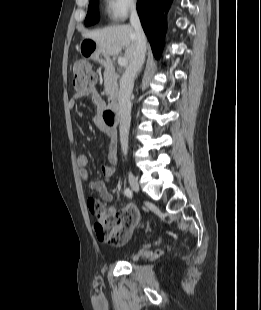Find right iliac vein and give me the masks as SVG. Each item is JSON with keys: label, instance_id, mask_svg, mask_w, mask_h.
Here are the masks:
<instances>
[{"label": "right iliac vein", "instance_id": "63e3f726", "mask_svg": "<svg viewBox=\"0 0 261 310\" xmlns=\"http://www.w3.org/2000/svg\"><path fill=\"white\" fill-rule=\"evenodd\" d=\"M128 180H129V184H130L132 190L135 192H139L138 181L132 173H129Z\"/></svg>", "mask_w": 261, "mask_h": 310}]
</instances>
